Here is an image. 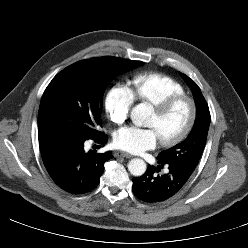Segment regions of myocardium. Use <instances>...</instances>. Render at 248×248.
<instances>
[{
	"label": "myocardium",
	"mask_w": 248,
	"mask_h": 248,
	"mask_svg": "<svg viewBox=\"0 0 248 248\" xmlns=\"http://www.w3.org/2000/svg\"><path fill=\"white\" fill-rule=\"evenodd\" d=\"M182 101H185L189 104L190 114H189L188 122L184 127V129L175 137L166 140H160V144L164 147H173L181 143L183 140H185L188 137L197 119V113H198L197 104L192 97L186 94H178V95L169 96L161 100L159 103L152 105L154 113L158 117H162L165 114H167L177 103Z\"/></svg>",
	"instance_id": "obj_1"
}]
</instances>
